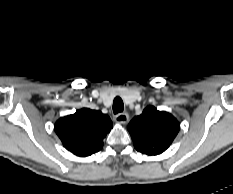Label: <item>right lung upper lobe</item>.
<instances>
[{"label": "right lung upper lobe", "mask_w": 233, "mask_h": 194, "mask_svg": "<svg viewBox=\"0 0 233 194\" xmlns=\"http://www.w3.org/2000/svg\"><path fill=\"white\" fill-rule=\"evenodd\" d=\"M112 128L108 115L83 108L59 119L55 131L64 147L73 154L86 157L103 147V138Z\"/></svg>", "instance_id": "cb5924a9"}]
</instances>
